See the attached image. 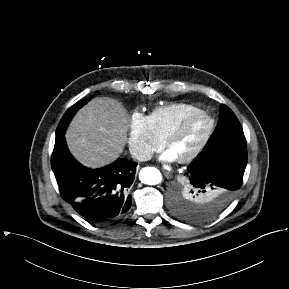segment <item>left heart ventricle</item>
I'll list each match as a JSON object with an SVG mask.
<instances>
[{
    "mask_svg": "<svg viewBox=\"0 0 289 289\" xmlns=\"http://www.w3.org/2000/svg\"><path fill=\"white\" fill-rule=\"evenodd\" d=\"M207 127L208 121L204 117L194 119L183 136L174 141L168 149L176 158L183 156L200 140Z\"/></svg>",
    "mask_w": 289,
    "mask_h": 289,
    "instance_id": "b2bd125f",
    "label": "left heart ventricle"
}]
</instances>
